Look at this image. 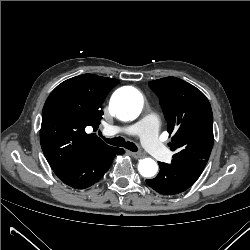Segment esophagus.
<instances>
[{"label": "esophagus", "instance_id": "1", "mask_svg": "<svg viewBox=\"0 0 250 250\" xmlns=\"http://www.w3.org/2000/svg\"><path fill=\"white\" fill-rule=\"evenodd\" d=\"M130 154L136 159L143 157V154L140 152H130Z\"/></svg>", "mask_w": 250, "mask_h": 250}]
</instances>
